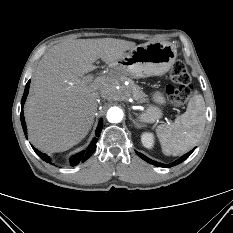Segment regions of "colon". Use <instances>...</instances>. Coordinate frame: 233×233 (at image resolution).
<instances>
[{"instance_id":"colon-1","label":"colon","mask_w":233,"mask_h":233,"mask_svg":"<svg viewBox=\"0 0 233 233\" xmlns=\"http://www.w3.org/2000/svg\"><path fill=\"white\" fill-rule=\"evenodd\" d=\"M170 78L174 84L166 87L169 100L175 105L185 104L191 95V77L183 62L174 63L170 71Z\"/></svg>"}]
</instances>
